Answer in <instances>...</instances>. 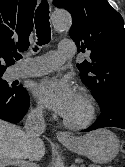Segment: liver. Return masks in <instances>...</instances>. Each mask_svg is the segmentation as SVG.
Segmentation results:
<instances>
[{
	"instance_id": "liver-1",
	"label": "liver",
	"mask_w": 125,
	"mask_h": 167,
	"mask_svg": "<svg viewBox=\"0 0 125 167\" xmlns=\"http://www.w3.org/2000/svg\"><path fill=\"white\" fill-rule=\"evenodd\" d=\"M45 155L43 142L30 139L18 126L0 120V161L39 160Z\"/></svg>"
}]
</instances>
